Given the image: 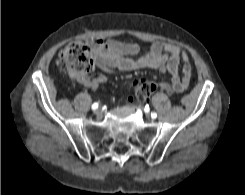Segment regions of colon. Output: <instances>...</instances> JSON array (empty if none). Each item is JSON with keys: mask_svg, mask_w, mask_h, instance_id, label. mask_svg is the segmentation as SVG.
Wrapping results in <instances>:
<instances>
[{"mask_svg": "<svg viewBox=\"0 0 245 195\" xmlns=\"http://www.w3.org/2000/svg\"><path fill=\"white\" fill-rule=\"evenodd\" d=\"M59 67H63L67 75L75 80L82 82L93 68V60L90 57L87 46L79 43L67 45L58 56L56 61ZM157 89L156 82L141 79L135 84V98L138 101L148 99Z\"/></svg>", "mask_w": 245, "mask_h": 195, "instance_id": "1", "label": "colon"}]
</instances>
